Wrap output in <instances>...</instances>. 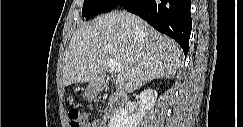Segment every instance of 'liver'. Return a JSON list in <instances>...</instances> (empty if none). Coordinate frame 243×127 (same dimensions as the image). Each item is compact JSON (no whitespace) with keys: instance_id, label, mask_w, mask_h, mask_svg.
<instances>
[{"instance_id":"liver-1","label":"liver","mask_w":243,"mask_h":127,"mask_svg":"<svg viewBox=\"0 0 243 127\" xmlns=\"http://www.w3.org/2000/svg\"><path fill=\"white\" fill-rule=\"evenodd\" d=\"M179 45L126 11L81 24L65 53L63 85L103 80L113 59L121 64L116 85L132 92L156 78H171L182 65Z\"/></svg>"}]
</instances>
